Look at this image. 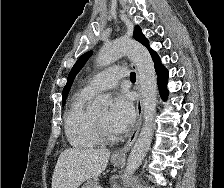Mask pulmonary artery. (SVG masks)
<instances>
[{
  "mask_svg": "<svg viewBox=\"0 0 224 188\" xmlns=\"http://www.w3.org/2000/svg\"><path fill=\"white\" fill-rule=\"evenodd\" d=\"M126 76L127 69L125 67H111L92 77L84 89L89 93L96 94L116 87L120 79Z\"/></svg>",
  "mask_w": 224,
  "mask_h": 188,
  "instance_id": "obj_1",
  "label": "pulmonary artery"
}]
</instances>
